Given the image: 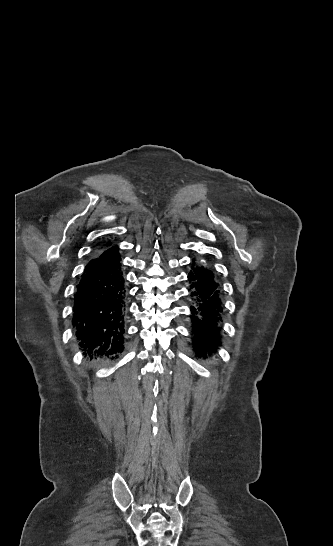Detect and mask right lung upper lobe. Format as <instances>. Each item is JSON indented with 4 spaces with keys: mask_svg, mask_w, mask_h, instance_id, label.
<instances>
[{
    "mask_svg": "<svg viewBox=\"0 0 333 546\" xmlns=\"http://www.w3.org/2000/svg\"><path fill=\"white\" fill-rule=\"evenodd\" d=\"M111 245H112V243H110V242L104 243L103 245H101L100 247H98V248L96 249V251L94 252L93 255H98V254H100L101 252H103V251H105V250L111 248Z\"/></svg>",
    "mask_w": 333,
    "mask_h": 546,
    "instance_id": "1",
    "label": "right lung upper lobe"
}]
</instances>
